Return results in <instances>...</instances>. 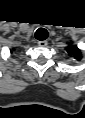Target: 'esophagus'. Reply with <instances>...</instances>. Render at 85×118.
Returning <instances> with one entry per match:
<instances>
[{"mask_svg": "<svg viewBox=\"0 0 85 118\" xmlns=\"http://www.w3.org/2000/svg\"><path fill=\"white\" fill-rule=\"evenodd\" d=\"M38 45L41 46V47H45V46L48 45V42H47L46 40H44V41H39V42H38Z\"/></svg>", "mask_w": 85, "mask_h": 118, "instance_id": "obj_1", "label": "esophagus"}]
</instances>
